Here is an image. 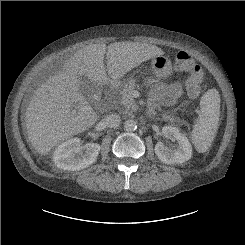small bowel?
Wrapping results in <instances>:
<instances>
[{
    "mask_svg": "<svg viewBox=\"0 0 245 245\" xmlns=\"http://www.w3.org/2000/svg\"><path fill=\"white\" fill-rule=\"evenodd\" d=\"M147 84L151 88L152 93V102L149 107L150 115H153L159 106L174 105L182 94L183 87L179 81L166 84L159 79L150 78Z\"/></svg>",
    "mask_w": 245,
    "mask_h": 245,
    "instance_id": "c3829d8e",
    "label": "small bowel"
}]
</instances>
